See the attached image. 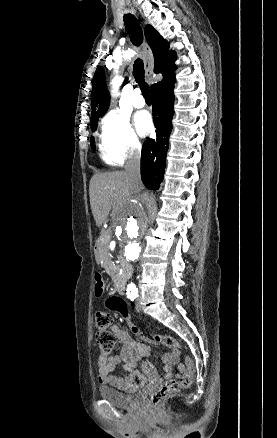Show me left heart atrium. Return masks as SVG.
Returning a JSON list of instances; mask_svg holds the SVG:
<instances>
[{"label": "left heart atrium", "mask_w": 277, "mask_h": 438, "mask_svg": "<svg viewBox=\"0 0 277 438\" xmlns=\"http://www.w3.org/2000/svg\"><path fill=\"white\" fill-rule=\"evenodd\" d=\"M135 126L142 136L147 135L152 129L151 116L146 111L137 113L134 117Z\"/></svg>", "instance_id": "39dd6f15"}]
</instances>
